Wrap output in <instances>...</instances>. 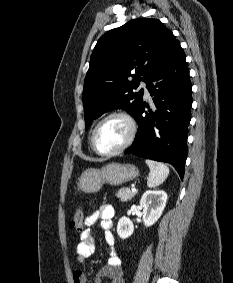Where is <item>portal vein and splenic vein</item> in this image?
I'll return each instance as SVG.
<instances>
[{"instance_id":"1","label":"portal vein and splenic vein","mask_w":233,"mask_h":283,"mask_svg":"<svg viewBox=\"0 0 233 283\" xmlns=\"http://www.w3.org/2000/svg\"><path fill=\"white\" fill-rule=\"evenodd\" d=\"M131 191L132 192H137V189L133 187V188H131Z\"/></svg>"}]
</instances>
